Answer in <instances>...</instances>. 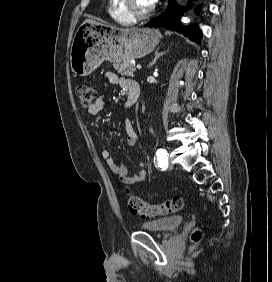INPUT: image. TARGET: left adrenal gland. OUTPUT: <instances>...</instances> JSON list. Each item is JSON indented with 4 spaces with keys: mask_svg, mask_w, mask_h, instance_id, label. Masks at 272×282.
<instances>
[{
    "mask_svg": "<svg viewBox=\"0 0 272 282\" xmlns=\"http://www.w3.org/2000/svg\"><path fill=\"white\" fill-rule=\"evenodd\" d=\"M165 54V52H159V48L155 51V57L152 62L148 65V68L156 63V61Z\"/></svg>",
    "mask_w": 272,
    "mask_h": 282,
    "instance_id": "a2214340",
    "label": "left adrenal gland"
}]
</instances>
